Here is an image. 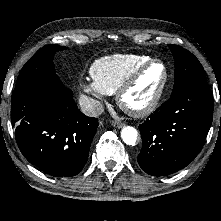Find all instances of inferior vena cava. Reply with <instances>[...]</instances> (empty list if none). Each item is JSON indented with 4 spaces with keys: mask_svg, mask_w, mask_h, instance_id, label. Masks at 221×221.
I'll use <instances>...</instances> for the list:
<instances>
[{
    "mask_svg": "<svg viewBox=\"0 0 221 221\" xmlns=\"http://www.w3.org/2000/svg\"><path fill=\"white\" fill-rule=\"evenodd\" d=\"M79 105L81 111L88 116L96 117L104 112V106L101 102L86 95L80 96Z\"/></svg>",
    "mask_w": 221,
    "mask_h": 221,
    "instance_id": "602c4592",
    "label": "inferior vena cava"
}]
</instances>
